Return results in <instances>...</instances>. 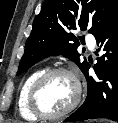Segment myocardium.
Here are the masks:
<instances>
[{
    "label": "myocardium",
    "mask_w": 118,
    "mask_h": 123,
    "mask_svg": "<svg viewBox=\"0 0 118 123\" xmlns=\"http://www.w3.org/2000/svg\"><path fill=\"white\" fill-rule=\"evenodd\" d=\"M55 74H66L72 79L75 86V95L72 102L64 110L58 113H47L43 111L41 107L39 106L38 94L42 85L46 82V80ZM81 97H82V84L77 73L68 67H62V66L54 67V68L45 70L35 80V82L31 86V89L28 95V105L31 112L35 114L37 117H39L40 119L56 120V119L63 118L64 116L72 112L79 104Z\"/></svg>",
    "instance_id": "1"
}]
</instances>
